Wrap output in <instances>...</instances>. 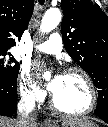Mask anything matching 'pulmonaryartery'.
I'll list each match as a JSON object with an SVG mask.
<instances>
[{
	"label": "pulmonary artery",
	"mask_w": 108,
	"mask_h": 127,
	"mask_svg": "<svg viewBox=\"0 0 108 127\" xmlns=\"http://www.w3.org/2000/svg\"><path fill=\"white\" fill-rule=\"evenodd\" d=\"M36 49L47 54H57L62 50V39L58 33H52L47 41L36 45Z\"/></svg>",
	"instance_id": "pulmonary-artery-1"
}]
</instances>
